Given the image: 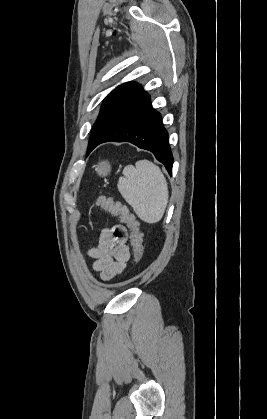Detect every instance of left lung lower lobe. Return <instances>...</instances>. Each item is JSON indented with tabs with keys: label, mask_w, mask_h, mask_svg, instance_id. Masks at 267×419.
Masks as SVG:
<instances>
[{
	"label": "left lung lower lobe",
	"mask_w": 267,
	"mask_h": 419,
	"mask_svg": "<svg viewBox=\"0 0 267 419\" xmlns=\"http://www.w3.org/2000/svg\"><path fill=\"white\" fill-rule=\"evenodd\" d=\"M111 129L88 147L89 154L104 142H130L154 154L172 173L173 156L168 144V133L163 127L161 115L152 108L150 96L141 91L124 110L114 112Z\"/></svg>",
	"instance_id": "left-lung-lower-lobe-1"
}]
</instances>
